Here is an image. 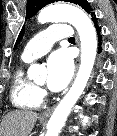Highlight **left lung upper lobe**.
<instances>
[{
    "instance_id": "obj_1",
    "label": "left lung upper lobe",
    "mask_w": 117,
    "mask_h": 136,
    "mask_svg": "<svg viewBox=\"0 0 117 136\" xmlns=\"http://www.w3.org/2000/svg\"><path fill=\"white\" fill-rule=\"evenodd\" d=\"M55 0H27V9H26V19L32 17L35 15L41 8L46 6L47 4H50L51 2H54ZM66 2L74 3L82 7L88 14L94 13L92 12V8L90 4L87 2V0H65ZM25 28L23 27L15 44V47L17 44L21 41L22 36L24 34ZM14 47V48H15Z\"/></svg>"
}]
</instances>
